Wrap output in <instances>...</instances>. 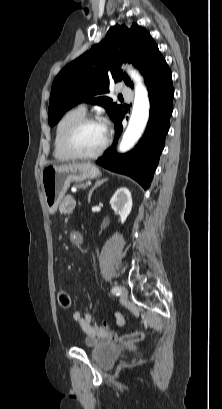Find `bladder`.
<instances>
[{"label": "bladder", "mask_w": 222, "mask_h": 409, "mask_svg": "<svg viewBox=\"0 0 222 409\" xmlns=\"http://www.w3.org/2000/svg\"><path fill=\"white\" fill-rule=\"evenodd\" d=\"M123 352L124 349L122 347L108 342L93 347L91 349V356L100 368L107 370Z\"/></svg>", "instance_id": "obj_1"}]
</instances>
